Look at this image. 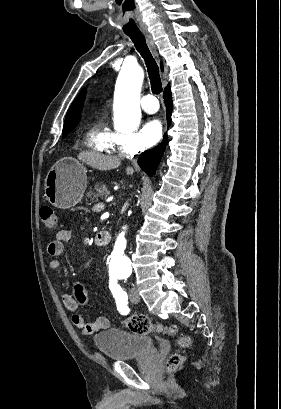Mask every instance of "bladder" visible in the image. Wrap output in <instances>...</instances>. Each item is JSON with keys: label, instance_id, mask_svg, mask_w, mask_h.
Masks as SVG:
<instances>
[{"label": "bladder", "instance_id": "bladder-1", "mask_svg": "<svg viewBox=\"0 0 281 409\" xmlns=\"http://www.w3.org/2000/svg\"><path fill=\"white\" fill-rule=\"evenodd\" d=\"M96 351L109 361L129 362L136 355H156L157 345L147 334H135L121 327H107L92 336Z\"/></svg>", "mask_w": 281, "mask_h": 409}]
</instances>
